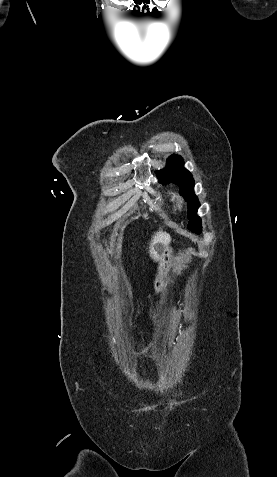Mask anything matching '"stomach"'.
Segmentation results:
<instances>
[{
    "mask_svg": "<svg viewBox=\"0 0 277 477\" xmlns=\"http://www.w3.org/2000/svg\"><path fill=\"white\" fill-rule=\"evenodd\" d=\"M172 253V248L167 245L160 256L158 273L154 281V290L157 294L163 292L167 284L168 273L172 265Z\"/></svg>",
    "mask_w": 277,
    "mask_h": 477,
    "instance_id": "1",
    "label": "stomach"
}]
</instances>
